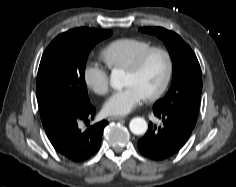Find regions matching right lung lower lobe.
<instances>
[{"instance_id": "obj_1", "label": "right lung lower lobe", "mask_w": 236, "mask_h": 187, "mask_svg": "<svg viewBox=\"0 0 236 187\" xmlns=\"http://www.w3.org/2000/svg\"><path fill=\"white\" fill-rule=\"evenodd\" d=\"M96 109L88 104L74 115L65 117L56 123L47 135L64 158L72 162H83L93 156L99 149L101 137L107 121L103 120L81 131L78 123L93 118Z\"/></svg>"}]
</instances>
